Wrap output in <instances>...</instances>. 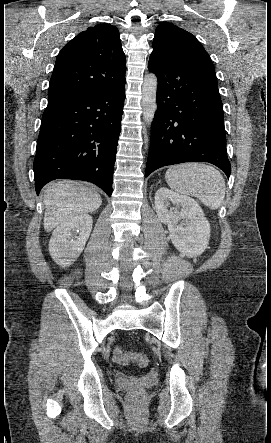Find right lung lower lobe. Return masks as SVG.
<instances>
[{
    "label": "right lung lower lobe",
    "instance_id": "1",
    "mask_svg": "<svg viewBox=\"0 0 271 443\" xmlns=\"http://www.w3.org/2000/svg\"><path fill=\"white\" fill-rule=\"evenodd\" d=\"M124 85L48 101L33 166L37 194L51 180L74 179L111 196Z\"/></svg>",
    "mask_w": 271,
    "mask_h": 443
}]
</instances>
